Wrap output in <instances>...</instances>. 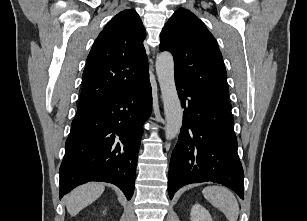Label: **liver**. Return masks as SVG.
<instances>
[{
	"label": "liver",
	"mask_w": 307,
	"mask_h": 221,
	"mask_svg": "<svg viewBox=\"0 0 307 221\" xmlns=\"http://www.w3.org/2000/svg\"><path fill=\"white\" fill-rule=\"evenodd\" d=\"M102 183L91 182L75 188L66 198V208L71 216H76L82 209L97 200L104 192Z\"/></svg>",
	"instance_id": "liver-1"
}]
</instances>
